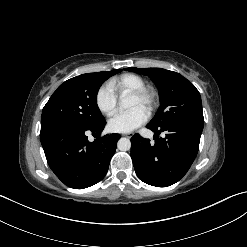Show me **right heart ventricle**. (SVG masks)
Listing matches in <instances>:
<instances>
[{
	"label": "right heart ventricle",
	"instance_id": "1",
	"mask_svg": "<svg viewBox=\"0 0 247 247\" xmlns=\"http://www.w3.org/2000/svg\"><path fill=\"white\" fill-rule=\"evenodd\" d=\"M110 87L114 92L123 95L145 88L146 81L140 75L127 73L112 81Z\"/></svg>",
	"mask_w": 247,
	"mask_h": 247
}]
</instances>
